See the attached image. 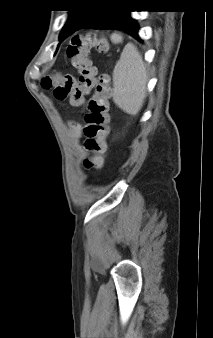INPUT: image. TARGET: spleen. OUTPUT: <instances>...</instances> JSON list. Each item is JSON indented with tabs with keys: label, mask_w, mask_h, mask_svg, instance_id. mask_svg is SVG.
Listing matches in <instances>:
<instances>
[{
	"label": "spleen",
	"mask_w": 213,
	"mask_h": 338,
	"mask_svg": "<svg viewBox=\"0 0 213 338\" xmlns=\"http://www.w3.org/2000/svg\"><path fill=\"white\" fill-rule=\"evenodd\" d=\"M113 101L124 112L136 115L146 98L147 70L133 43L125 45L113 70Z\"/></svg>",
	"instance_id": "spleen-1"
}]
</instances>
